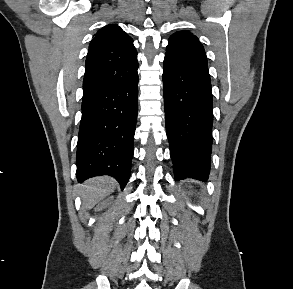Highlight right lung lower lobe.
<instances>
[{
  "label": "right lung lower lobe",
  "mask_w": 293,
  "mask_h": 289,
  "mask_svg": "<svg viewBox=\"0 0 293 289\" xmlns=\"http://www.w3.org/2000/svg\"><path fill=\"white\" fill-rule=\"evenodd\" d=\"M138 75L82 101L77 143V180L114 177L123 190L131 170L138 113Z\"/></svg>",
  "instance_id": "1"
}]
</instances>
